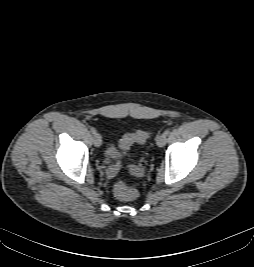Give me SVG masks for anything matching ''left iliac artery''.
<instances>
[{"label":"left iliac artery","instance_id":"left-iliac-artery-1","mask_svg":"<svg viewBox=\"0 0 254 267\" xmlns=\"http://www.w3.org/2000/svg\"><path fill=\"white\" fill-rule=\"evenodd\" d=\"M170 133V129L164 131V134L167 136Z\"/></svg>","mask_w":254,"mask_h":267}]
</instances>
